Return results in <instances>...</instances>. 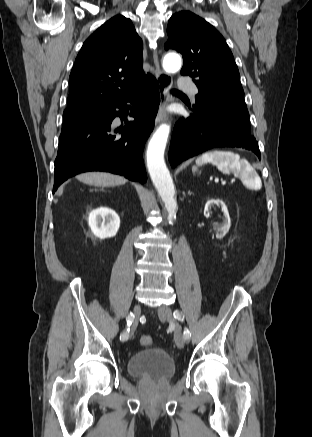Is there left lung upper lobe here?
<instances>
[{
    "instance_id": "obj_1",
    "label": "left lung upper lobe",
    "mask_w": 312,
    "mask_h": 437,
    "mask_svg": "<svg viewBox=\"0 0 312 437\" xmlns=\"http://www.w3.org/2000/svg\"><path fill=\"white\" fill-rule=\"evenodd\" d=\"M167 34L165 49H175L182 54L181 74L194 78L199 89L194 108L220 111L252 135L239 71L223 36L190 11L174 14Z\"/></svg>"
}]
</instances>
